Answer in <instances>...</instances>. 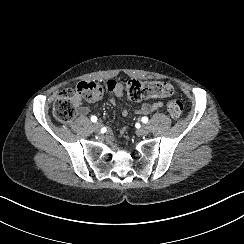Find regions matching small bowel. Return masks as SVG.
<instances>
[{
  "instance_id": "c3829d8e",
  "label": "small bowel",
  "mask_w": 244,
  "mask_h": 244,
  "mask_svg": "<svg viewBox=\"0 0 244 244\" xmlns=\"http://www.w3.org/2000/svg\"><path fill=\"white\" fill-rule=\"evenodd\" d=\"M107 89L111 93V97L109 99L110 104L116 105V98L122 97L124 95V85L123 83L115 80H110L106 84ZM163 104L161 102L155 103H143L137 108V113L139 114H150L156 110L161 109ZM118 112L121 116L127 115V110L124 107L117 106ZM90 112V107L87 105H79L78 106V114L80 116H86Z\"/></svg>"
}]
</instances>
